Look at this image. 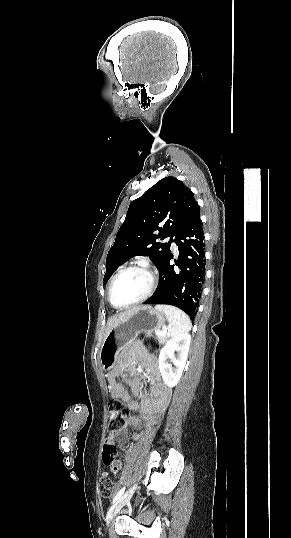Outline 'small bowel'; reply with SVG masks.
<instances>
[{
    "instance_id": "obj_1",
    "label": "small bowel",
    "mask_w": 291,
    "mask_h": 538,
    "mask_svg": "<svg viewBox=\"0 0 291 538\" xmlns=\"http://www.w3.org/2000/svg\"><path fill=\"white\" fill-rule=\"evenodd\" d=\"M107 376L112 398L121 400L130 410L138 413V415L129 418L128 424L142 429L134 434L135 440L141 439L144 429L150 426L160 410L161 404L170 394V390L162 384L158 362L149 355L133 356L124 352L120 356L119 363L109 365ZM142 376H147L153 386L142 395V402L139 404L136 398L139 394ZM121 380L127 383L128 389L121 383ZM114 439L121 449H126L127 432L125 430L119 431L112 438V441ZM109 440L108 437L106 442ZM110 469L115 475H120L121 462L116 461Z\"/></svg>"
}]
</instances>
